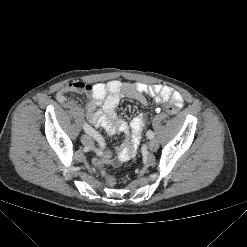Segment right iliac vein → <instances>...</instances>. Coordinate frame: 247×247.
<instances>
[{"label":"right iliac vein","instance_id":"obj_1","mask_svg":"<svg viewBox=\"0 0 247 247\" xmlns=\"http://www.w3.org/2000/svg\"><path fill=\"white\" fill-rule=\"evenodd\" d=\"M81 142H82L83 145H86V146H92L93 145L92 138L87 134H83L81 136Z\"/></svg>","mask_w":247,"mask_h":247}]
</instances>
